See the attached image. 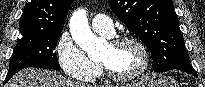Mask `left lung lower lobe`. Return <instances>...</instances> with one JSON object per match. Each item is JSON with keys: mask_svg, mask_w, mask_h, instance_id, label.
I'll return each instance as SVG.
<instances>
[{"mask_svg": "<svg viewBox=\"0 0 205 87\" xmlns=\"http://www.w3.org/2000/svg\"><path fill=\"white\" fill-rule=\"evenodd\" d=\"M176 70H180L189 74H192L194 76L197 77L195 70L191 67V66H187V67H178L176 68Z\"/></svg>", "mask_w": 205, "mask_h": 87, "instance_id": "1", "label": "left lung lower lobe"}]
</instances>
